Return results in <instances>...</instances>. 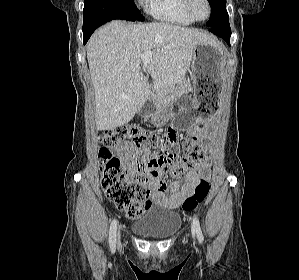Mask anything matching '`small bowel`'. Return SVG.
I'll list each match as a JSON object with an SVG mask.
<instances>
[{
  "mask_svg": "<svg viewBox=\"0 0 299 280\" xmlns=\"http://www.w3.org/2000/svg\"><path fill=\"white\" fill-rule=\"evenodd\" d=\"M189 133L200 139L205 137V129L202 126H194ZM206 147L207 145L203 143V148L206 149ZM115 151L120 157L130 162L134 175L141 176L142 185L148 192V208L152 204L169 209L178 208L187 197L192 195L200 180L208 181L210 178V165L203 150L202 158L192 170L169 182L163 179V170L158 166H149L141 174L137 171L136 166L140 154L134 145L123 144Z\"/></svg>",
  "mask_w": 299,
  "mask_h": 280,
  "instance_id": "obj_1",
  "label": "small bowel"
}]
</instances>
